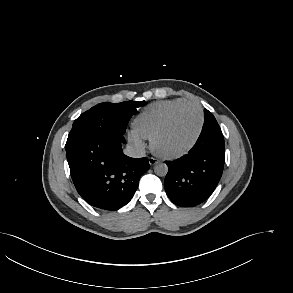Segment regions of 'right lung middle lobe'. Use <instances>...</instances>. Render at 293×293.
Returning <instances> with one entry per match:
<instances>
[{
  "label": "right lung middle lobe",
  "instance_id": "right-lung-middle-lobe-1",
  "mask_svg": "<svg viewBox=\"0 0 293 293\" xmlns=\"http://www.w3.org/2000/svg\"><path fill=\"white\" fill-rule=\"evenodd\" d=\"M144 101L100 103L81 114L73 123L65 145L66 150L103 132L124 134L127 124Z\"/></svg>",
  "mask_w": 293,
  "mask_h": 293
}]
</instances>
